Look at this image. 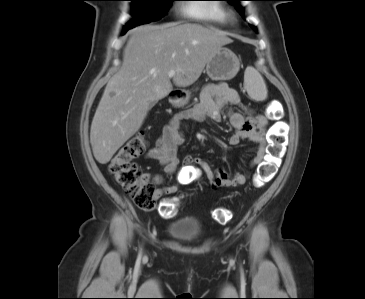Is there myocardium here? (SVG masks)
Listing matches in <instances>:
<instances>
[{
	"label": "myocardium",
	"mask_w": 365,
	"mask_h": 299,
	"mask_svg": "<svg viewBox=\"0 0 365 299\" xmlns=\"http://www.w3.org/2000/svg\"><path fill=\"white\" fill-rule=\"evenodd\" d=\"M229 18H230V21H234L235 20V18L233 16H230Z\"/></svg>",
	"instance_id": "1"
}]
</instances>
